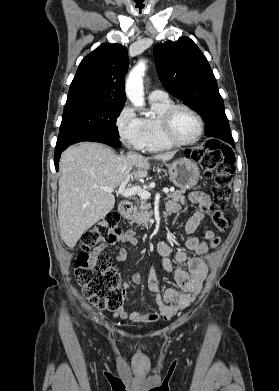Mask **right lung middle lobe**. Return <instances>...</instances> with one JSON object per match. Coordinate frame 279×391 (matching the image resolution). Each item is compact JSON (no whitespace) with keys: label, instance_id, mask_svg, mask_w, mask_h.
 <instances>
[{"label":"right lung middle lobe","instance_id":"right-lung-middle-lobe-1","mask_svg":"<svg viewBox=\"0 0 279 391\" xmlns=\"http://www.w3.org/2000/svg\"><path fill=\"white\" fill-rule=\"evenodd\" d=\"M123 105H86L63 111L56 146L71 145L104 134L118 136L116 120Z\"/></svg>","mask_w":279,"mask_h":391}]
</instances>
